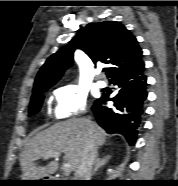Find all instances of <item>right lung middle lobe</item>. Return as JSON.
<instances>
[{
	"label": "right lung middle lobe",
	"instance_id": "dd1d6c3e",
	"mask_svg": "<svg viewBox=\"0 0 178 186\" xmlns=\"http://www.w3.org/2000/svg\"><path fill=\"white\" fill-rule=\"evenodd\" d=\"M48 89H43L37 92L36 94L32 95L30 106H29V114H36L42 105L44 96L43 93H45Z\"/></svg>",
	"mask_w": 178,
	"mask_h": 186
}]
</instances>
